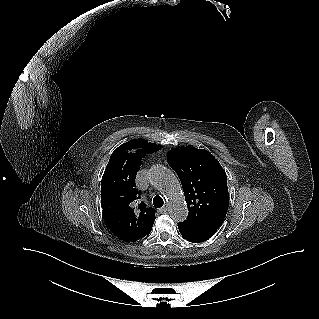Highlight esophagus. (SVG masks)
<instances>
[{"label": "esophagus", "mask_w": 319, "mask_h": 319, "mask_svg": "<svg viewBox=\"0 0 319 319\" xmlns=\"http://www.w3.org/2000/svg\"><path fill=\"white\" fill-rule=\"evenodd\" d=\"M158 212H159L160 214L166 213V212H167V207L164 206V207L160 208V209L158 210Z\"/></svg>", "instance_id": "esophagus-1"}]
</instances>
